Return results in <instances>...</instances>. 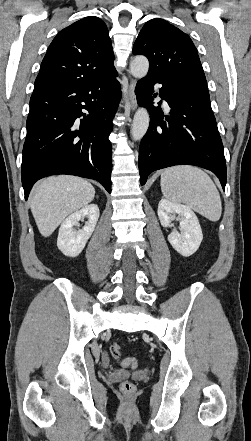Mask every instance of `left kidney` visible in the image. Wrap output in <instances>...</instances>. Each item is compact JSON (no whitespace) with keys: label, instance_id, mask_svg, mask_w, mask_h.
I'll use <instances>...</instances> for the list:
<instances>
[{"label":"left kidney","instance_id":"1","mask_svg":"<svg viewBox=\"0 0 251 441\" xmlns=\"http://www.w3.org/2000/svg\"><path fill=\"white\" fill-rule=\"evenodd\" d=\"M158 217L163 227H170L174 215L180 218L181 233L173 230L168 241L172 247L184 257L194 254L203 239L202 230L196 214L185 205L162 199L158 204Z\"/></svg>","mask_w":251,"mask_h":441}]
</instances>
